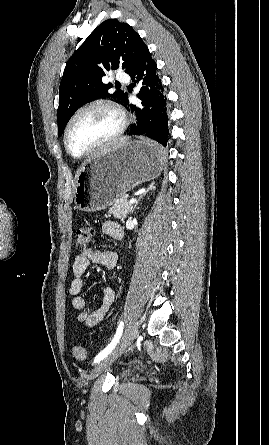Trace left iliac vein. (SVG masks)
Masks as SVG:
<instances>
[{
	"instance_id": "obj_1",
	"label": "left iliac vein",
	"mask_w": 269,
	"mask_h": 445,
	"mask_svg": "<svg viewBox=\"0 0 269 445\" xmlns=\"http://www.w3.org/2000/svg\"><path fill=\"white\" fill-rule=\"evenodd\" d=\"M137 333H138L137 324L131 323L126 328L125 332L123 333L120 341L118 342L114 350L110 352L104 359H102L94 368V370L91 372L89 379L90 380L95 379L104 369H106L115 360H117V358H119L125 352L128 346L137 336Z\"/></svg>"
}]
</instances>
